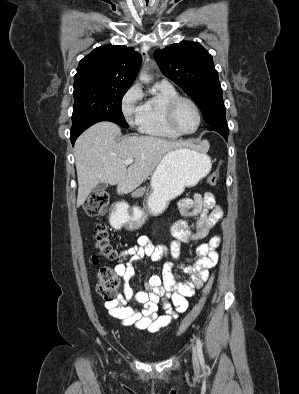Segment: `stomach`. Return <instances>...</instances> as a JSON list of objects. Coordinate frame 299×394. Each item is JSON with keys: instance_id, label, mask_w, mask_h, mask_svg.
<instances>
[{"instance_id": "obj_1", "label": "stomach", "mask_w": 299, "mask_h": 394, "mask_svg": "<svg viewBox=\"0 0 299 394\" xmlns=\"http://www.w3.org/2000/svg\"><path fill=\"white\" fill-rule=\"evenodd\" d=\"M210 170L211 161L205 153L187 147L169 151L151 176V192L146 201L149 212L161 214L172 199L184 192L185 187L196 185ZM146 217L142 209L134 206L131 213H125L124 222L131 229H137Z\"/></svg>"}]
</instances>
